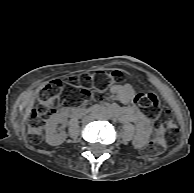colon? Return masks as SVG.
I'll use <instances>...</instances> for the list:
<instances>
[{
	"label": "colon",
	"mask_w": 194,
	"mask_h": 193,
	"mask_svg": "<svg viewBox=\"0 0 194 193\" xmlns=\"http://www.w3.org/2000/svg\"><path fill=\"white\" fill-rule=\"evenodd\" d=\"M121 69H114L110 72L97 70L92 74L80 77L71 76L63 84L58 79L50 80L38 99L37 105L33 108L28 124V137L38 143L41 139V130L47 117L61 104H67L72 99L96 98L100 99L105 91L108 80H117L123 77ZM93 84L90 88L87 85ZM65 90V97L62 91ZM136 102L144 109L147 117L159 119L155 136L144 148L146 156H157L161 154L166 145L173 141L176 136V128L170 118V111L159 102L154 93H141L136 97Z\"/></svg>",
	"instance_id": "colon-1"
}]
</instances>
